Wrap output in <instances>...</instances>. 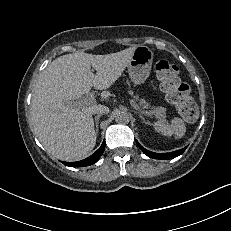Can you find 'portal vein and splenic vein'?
<instances>
[{
  "mask_svg": "<svg viewBox=\"0 0 231 231\" xmlns=\"http://www.w3.org/2000/svg\"><path fill=\"white\" fill-rule=\"evenodd\" d=\"M129 101H130V104L133 106V108H135L136 110L141 111L143 114H147V115L150 114V112L141 110L138 104L133 99H130ZM95 103H96V100L94 96L92 94H87L83 99L73 102V105L76 107H82L85 105H91Z\"/></svg>",
  "mask_w": 231,
  "mask_h": 231,
  "instance_id": "18ae733b",
  "label": "portal vein and splenic vein"
}]
</instances>
